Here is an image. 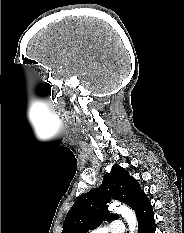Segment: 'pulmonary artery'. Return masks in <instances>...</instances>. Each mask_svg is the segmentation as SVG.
Returning <instances> with one entry per match:
<instances>
[{
    "label": "pulmonary artery",
    "mask_w": 184,
    "mask_h": 233,
    "mask_svg": "<svg viewBox=\"0 0 184 233\" xmlns=\"http://www.w3.org/2000/svg\"><path fill=\"white\" fill-rule=\"evenodd\" d=\"M125 227L121 221H113L107 226L97 228L90 233H124Z\"/></svg>",
    "instance_id": "1"
}]
</instances>
